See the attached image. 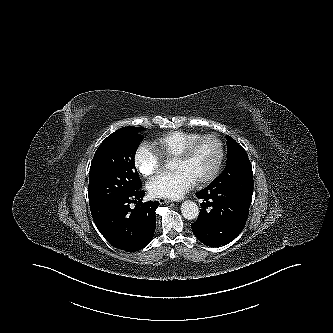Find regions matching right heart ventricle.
<instances>
[{
    "label": "right heart ventricle",
    "mask_w": 333,
    "mask_h": 333,
    "mask_svg": "<svg viewBox=\"0 0 333 333\" xmlns=\"http://www.w3.org/2000/svg\"><path fill=\"white\" fill-rule=\"evenodd\" d=\"M201 134L187 131H169L155 139L150 148L161 158L174 159L183 148Z\"/></svg>",
    "instance_id": "e07e8e85"
}]
</instances>
